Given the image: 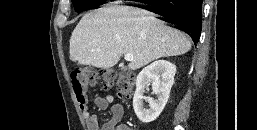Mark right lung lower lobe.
I'll use <instances>...</instances> for the list:
<instances>
[{
	"label": "right lung lower lobe",
	"instance_id": "obj_1",
	"mask_svg": "<svg viewBox=\"0 0 257 130\" xmlns=\"http://www.w3.org/2000/svg\"><path fill=\"white\" fill-rule=\"evenodd\" d=\"M203 0H168L151 4L161 15L160 19L191 36L196 44L199 41L202 28Z\"/></svg>",
	"mask_w": 257,
	"mask_h": 130
}]
</instances>
